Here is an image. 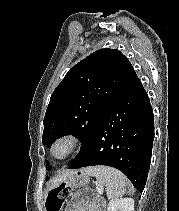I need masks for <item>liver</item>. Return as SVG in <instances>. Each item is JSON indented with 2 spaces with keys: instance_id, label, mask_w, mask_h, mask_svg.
I'll use <instances>...</instances> for the list:
<instances>
[{
  "instance_id": "liver-1",
  "label": "liver",
  "mask_w": 179,
  "mask_h": 211,
  "mask_svg": "<svg viewBox=\"0 0 179 211\" xmlns=\"http://www.w3.org/2000/svg\"><path fill=\"white\" fill-rule=\"evenodd\" d=\"M74 172L73 171H65L63 172L62 174L56 176L52 182H51V185H50V189L56 187L59 185L60 182L64 181L67 177H69L71 174H73Z\"/></svg>"
}]
</instances>
